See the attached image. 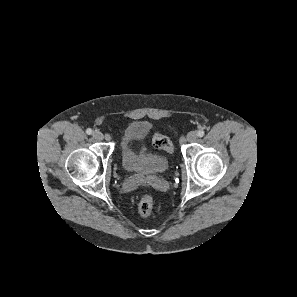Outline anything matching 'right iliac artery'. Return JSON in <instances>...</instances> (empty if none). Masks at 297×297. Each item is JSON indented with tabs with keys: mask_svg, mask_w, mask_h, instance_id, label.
<instances>
[{
	"mask_svg": "<svg viewBox=\"0 0 297 297\" xmlns=\"http://www.w3.org/2000/svg\"><path fill=\"white\" fill-rule=\"evenodd\" d=\"M92 132H93L92 129H90V128L86 129V133H87L88 135H91Z\"/></svg>",
	"mask_w": 297,
	"mask_h": 297,
	"instance_id": "1",
	"label": "right iliac artery"
}]
</instances>
